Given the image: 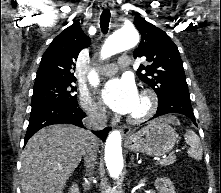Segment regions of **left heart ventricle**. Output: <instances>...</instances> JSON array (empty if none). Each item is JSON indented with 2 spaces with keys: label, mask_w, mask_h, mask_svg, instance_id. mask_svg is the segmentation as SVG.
<instances>
[{
  "label": "left heart ventricle",
  "mask_w": 221,
  "mask_h": 193,
  "mask_svg": "<svg viewBox=\"0 0 221 193\" xmlns=\"http://www.w3.org/2000/svg\"><path fill=\"white\" fill-rule=\"evenodd\" d=\"M144 107H145V104L142 101V99L139 97V101H138L135 109L132 111L131 115H137V114L141 113L143 111Z\"/></svg>",
  "instance_id": "b2bd125f"
}]
</instances>
